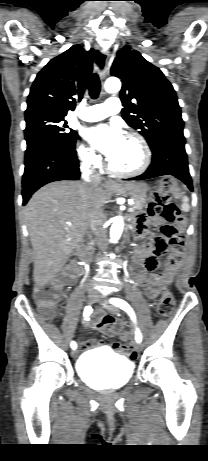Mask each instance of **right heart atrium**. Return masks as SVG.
I'll return each instance as SVG.
<instances>
[{
    "label": "right heart atrium",
    "instance_id": "obj_1",
    "mask_svg": "<svg viewBox=\"0 0 208 461\" xmlns=\"http://www.w3.org/2000/svg\"><path fill=\"white\" fill-rule=\"evenodd\" d=\"M77 154L81 165L87 168H97L100 165L101 158L90 147L80 144Z\"/></svg>",
    "mask_w": 208,
    "mask_h": 461
}]
</instances>
